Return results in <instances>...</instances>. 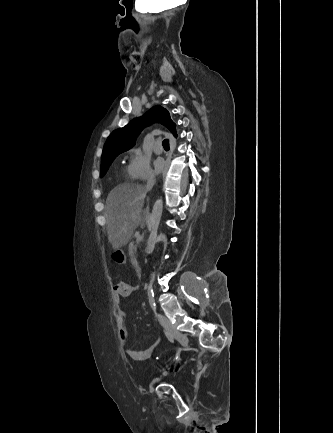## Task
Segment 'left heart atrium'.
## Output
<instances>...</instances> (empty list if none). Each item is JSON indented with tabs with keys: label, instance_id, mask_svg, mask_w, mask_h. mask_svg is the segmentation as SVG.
I'll return each instance as SVG.
<instances>
[{
	"label": "left heart atrium",
	"instance_id": "left-heart-atrium-1",
	"mask_svg": "<svg viewBox=\"0 0 333 433\" xmlns=\"http://www.w3.org/2000/svg\"><path fill=\"white\" fill-rule=\"evenodd\" d=\"M155 170L160 172L163 169L164 163L161 159H157L154 162Z\"/></svg>",
	"mask_w": 333,
	"mask_h": 433
}]
</instances>
